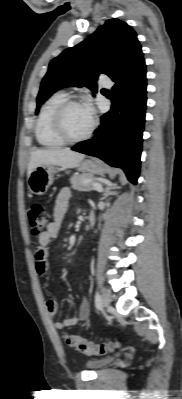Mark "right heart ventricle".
<instances>
[{"label": "right heart ventricle", "mask_w": 182, "mask_h": 399, "mask_svg": "<svg viewBox=\"0 0 182 399\" xmlns=\"http://www.w3.org/2000/svg\"><path fill=\"white\" fill-rule=\"evenodd\" d=\"M67 99V94L60 91L52 94L41 107L36 121L35 135L38 143L47 148L62 146L64 142L53 129V114L56 108Z\"/></svg>", "instance_id": "obj_1"}]
</instances>
